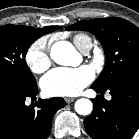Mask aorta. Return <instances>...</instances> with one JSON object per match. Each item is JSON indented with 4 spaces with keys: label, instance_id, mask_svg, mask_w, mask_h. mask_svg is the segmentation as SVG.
I'll return each mask as SVG.
<instances>
[{
    "label": "aorta",
    "instance_id": "aorta-1",
    "mask_svg": "<svg viewBox=\"0 0 139 139\" xmlns=\"http://www.w3.org/2000/svg\"><path fill=\"white\" fill-rule=\"evenodd\" d=\"M54 62L60 65H73L78 57L74 46L67 41L55 42L50 50ZM75 111L80 115H89L93 110V103L89 99L81 98L75 102Z\"/></svg>",
    "mask_w": 139,
    "mask_h": 139
}]
</instances>
